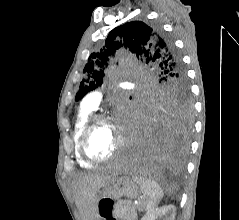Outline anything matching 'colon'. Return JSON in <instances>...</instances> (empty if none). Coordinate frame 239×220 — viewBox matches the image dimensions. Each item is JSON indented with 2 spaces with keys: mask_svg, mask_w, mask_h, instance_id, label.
I'll use <instances>...</instances> for the list:
<instances>
[{
  "mask_svg": "<svg viewBox=\"0 0 239 220\" xmlns=\"http://www.w3.org/2000/svg\"><path fill=\"white\" fill-rule=\"evenodd\" d=\"M113 201L110 199L102 200L99 204V210L104 220H115L112 217Z\"/></svg>",
  "mask_w": 239,
  "mask_h": 220,
  "instance_id": "colon-1",
  "label": "colon"
}]
</instances>
